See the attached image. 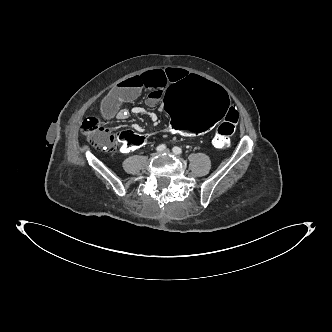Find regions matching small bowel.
I'll use <instances>...</instances> for the list:
<instances>
[{"label": "small bowel", "mask_w": 332, "mask_h": 332, "mask_svg": "<svg viewBox=\"0 0 332 332\" xmlns=\"http://www.w3.org/2000/svg\"><path fill=\"white\" fill-rule=\"evenodd\" d=\"M191 75L187 70L177 67L165 69H153L144 73L127 78L112 88L102 99L100 113L103 118L125 119V114L120 110L123 103L133 101L143 90H148L146 99L148 106H155L163 97L165 90L176 83L182 77ZM230 110L236 111L233 107ZM237 112V111H236ZM136 113L143 114L140 110ZM133 129L136 132L144 133L145 127L140 124H134Z\"/></svg>", "instance_id": "c3829d8e"}]
</instances>
